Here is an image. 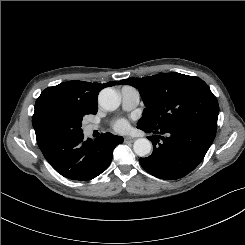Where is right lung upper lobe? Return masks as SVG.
Listing matches in <instances>:
<instances>
[{
  "instance_id": "obj_1",
  "label": "right lung upper lobe",
  "mask_w": 245,
  "mask_h": 245,
  "mask_svg": "<svg viewBox=\"0 0 245 245\" xmlns=\"http://www.w3.org/2000/svg\"><path fill=\"white\" fill-rule=\"evenodd\" d=\"M116 81L104 84L90 83L85 81H68L53 87L46 88L43 92H58L69 99L89 108L97 110V97L99 92L108 86H114ZM37 143L42 153L52 141L46 140L36 133Z\"/></svg>"
}]
</instances>
